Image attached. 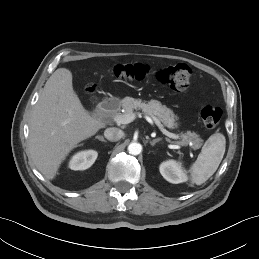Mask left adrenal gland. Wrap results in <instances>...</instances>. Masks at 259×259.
I'll return each mask as SVG.
<instances>
[{
  "mask_svg": "<svg viewBox=\"0 0 259 259\" xmlns=\"http://www.w3.org/2000/svg\"><path fill=\"white\" fill-rule=\"evenodd\" d=\"M160 140H161V139H159V138H158V139H154V140H152V141L149 140V143H150L151 146H154V145H155L156 143H158Z\"/></svg>",
  "mask_w": 259,
  "mask_h": 259,
  "instance_id": "obj_1",
  "label": "left adrenal gland"
}]
</instances>
